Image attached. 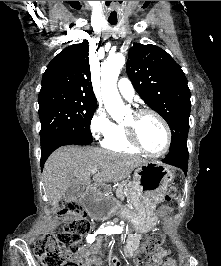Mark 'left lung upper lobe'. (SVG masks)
<instances>
[{
  "label": "left lung upper lobe",
  "mask_w": 221,
  "mask_h": 266,
  "mask_svg": "<svg viewBox=\"0 0 221 266\" xmlns=\"http://www.w3.org/2000/svg\"><path fill=\"white\" fill-rule=\"evenodd\" d=\"M126 68L140 97L168 123L172 132L169 150L185 146L191 102L181 67L160 47L135 43Z\"/></svg>",
  "instance_id": "5c2ea615"
}]
</instances>
